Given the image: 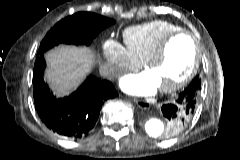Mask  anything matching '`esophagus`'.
Listing matches in <instances>:
<instances>
[{"mask_svg":"<svg viewBox=\"0 0 240 160\" xmlns=\"http://www.w3.org/2000/svg\"><path fill=\"white\" fill-rule=\"evenodd\" d=\"M133 102L140 108L146 109L148 106V102L139 99H133Z\"/></svg>","mask_w":240,"mask_h":160,"instance_id":"34e87169","label":"esophagus"}]
</instances>
